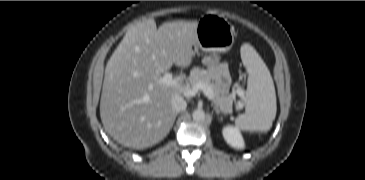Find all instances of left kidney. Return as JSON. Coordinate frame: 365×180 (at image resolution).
Instances as JSON below:
<instances>
[{
	"label": "left kidney",
	"mask_w": 365,
	"mask_h": 180,
	"mask_svg": "<svg viewBox=\"0 0 365 180\" xmlns=\"http://www.w3.org/2000/svg\"><path fill=\"white\" fill-rule=\"evenodd\" d=\"M223 137L225 141L234 148L243 149L244 140L238 129L232 126H226L223 128Z\"/></svg>",
	"instance_id": "1"
}]
</instances>
